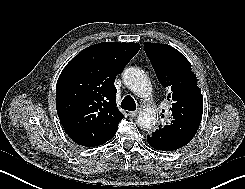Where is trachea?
<instances>
[{"label":"trachea","instance_id":"1","mask_svg":"<svg viewBox=\"0 0 245 189\" xmlns=\"http://www.w3.org/2000/svg\"><path fill=\"white\" fill-rule=\"evenodd\" d=\"M121 108L128 111H134L136 110V103L131 96L127 95L121 102Z\"/></svg>","mask_w":245,"mask_h":189}]
</instances>
